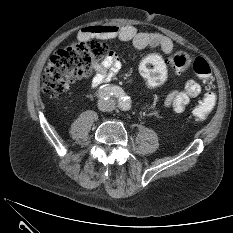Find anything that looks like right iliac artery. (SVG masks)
Returning <instances> with one entry per match:
<instances>
[{"instance_id":"1","label":"right iliac artery","mask_w":233,"mask_h":233,"mask_svg":"<svg viewBox=\"0 0 233 233\" xmlns=\"http://www.w3.org/2000/svg\"><path fill=\"white\" fill-rule=\"evenodd\" d=\"M111 96L117 97L119 99V103H121L123 99L125 98V94L123 90L118 86H107L103 88L102 90H100L98 94V97L101 100H107Z\"/></svg>"}]
</instances>
